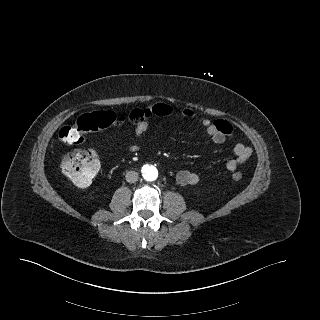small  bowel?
<instances>
[{
	"instance_id": "c3829d8e",
	"label": "small bowel",
	"mask_w": 320,
	"mask_h": 320,
	"mask_svg": "<svg viewBox=\"0 0 320 320\" xmlns=\"http://www.w3.org/2000/svg\"><path fill=\"white\" fill-rule=\"evenodd\" d=\"M175 114V109L165 103H157L148 108H136L130 111L124 119L117 125L120 126L124 123H130L135 126L134 136L139 140L148 130L150 121L153 117H170ZM182 117L185 119H197L198 122L205 127L207 133L211 137L212 141L216 144H222L226 141L227 137L232 134V126L228 121L215 120L211 121L204 117H197V114L189 109H183L181 111ZM139 150V145L134 143L129 146V151L135 153ZM252 154V149L243 143H237L234 146V158L230 159L226 168L233 172L240 165L244 164ZM176 180L181 186H194L200 178L198 174L188 170H180L176 174Z\"/></svg>"
}]
</instances>
